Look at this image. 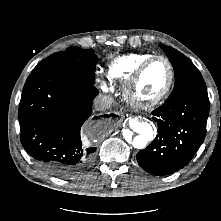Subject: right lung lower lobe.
I'll use <instances>...</instances> for the list:
<instances>
[{"label": "right lung lower lobe", "instance_id": "obj_1", "mask_svg": "<svg viewBox=\"0 0 221 221\" xmlns=\"http://www.w3.org/2000/svg\"><path fill=\"white\" fill-rule=\"evenodd\" d=\"M98 93L94 84L54 68L29 75L19 105L21 142L44 171L67 178L92 160L96 147L82 144L80 130L87 119L94 130L99 127L101 119L90 117Z\"/></svg>", "mask_w": 221, "mask_h": 221}]
</instances>
